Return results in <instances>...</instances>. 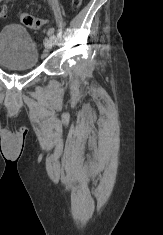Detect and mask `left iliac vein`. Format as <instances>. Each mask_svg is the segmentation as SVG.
<instances>
[{
    "label": "left iliac vein",
    "instance_id": "1",
    "mask_svg": "<svg viewBox=\"0 0 163 235\" xmlns=\"http://www.w3.org/2000/svg\"><path fill=\"white\" fill-rule=\"evenodd\" d=\"M53 44H54L53 39H51L50 37H45L44 39V45L46 47V51L44 53L45 56L47 55V52L52 49Z\"/></svg>",
    "mask_w": 163,
    "mask_h": 235
}]
</instances>
